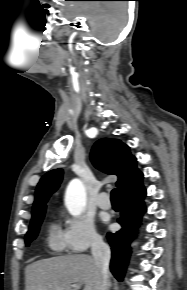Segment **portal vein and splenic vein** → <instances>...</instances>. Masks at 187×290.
Segmentation results:
<instances>
[{
	"label": "portal vein and splenic vein",
	"mask_w": 187,
	"mask_h": 290,
	"mask_svg": "<svg viewBox=\"0 0 187 290\" xmlns=\"http://www.w3.org/2000/svg\"><path fill=\"white\" fill-rule=\"evenodd\" d=\"M72 286H73V287H75V286H76V284H73Z\"/></svg>",
	"instance_id": "1"
}]
</instances>
